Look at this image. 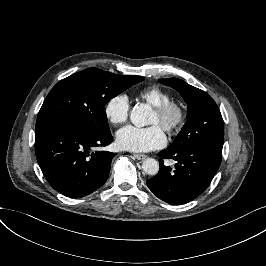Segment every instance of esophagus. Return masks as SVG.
I'll return each instance as SVG.
<instances>
[{
    "mask_svg": "<svg viewBox=\"0 0 266 266\" xmlns=\"http://www.w3.org/2000/svg\"><path fill=\"white\" fill-rule=\"evenodd\" d=\"M133 156L138 160H144L147 157L145 154H134Z\"/></svg>",
    "mask_w": 266,
    "mask_h": 266,
    "instance_id": "esophagus-1",
    "label": "esophagus"
}]
</instances>
